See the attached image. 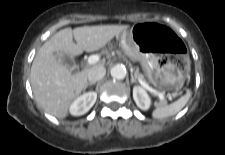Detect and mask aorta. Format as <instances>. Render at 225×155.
Instances as JSON below:
<instances>
[{
  "label": "aorta",
  "mask_w": 225,
  "mask_h": 155,
  "mask_svg": "<svg viewBox=\"0 0 225 155\" xmlns=\"http://www.w3.org/2000/svg\"><path fill=\"white\" fill-rule=\"evenodd\" d=\"M111 76L115 79H124L126 77V68L122 65L112 67Z\"/></svg>",
  "instance_id": "762f6f07"
}]
</instances>
